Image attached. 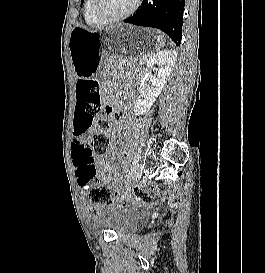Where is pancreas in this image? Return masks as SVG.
Segmentation results:
<instances>
[{"label":"pancreas","mask_w":265,"mask_h":273,"mask_svg":"<svg viewBox=\"0 0 265 273\" xmlns=\"http://www.w3.org/2000/svg\"><path fill=\"white\" fill-rule=\"evenodd\" d=\"M128 60H129V62H130L131 65L132 64H136L137 62H139V63L143 62L142 57H140L139 59H128Z\"/></svg>","instance_id":"obj_1"}]
</instances>
